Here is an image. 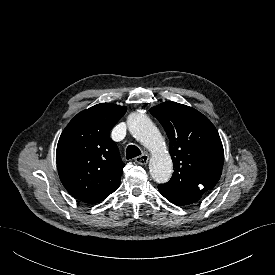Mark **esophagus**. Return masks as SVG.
<instances>
[{"label":"esophagus","mask_w":275,"mask_h":275,"mask_svg":"<svg viewBox=\"0 0 275 275\" xmlns=\"http://www.w3.org/2000/svg\"><path fill=\"white\" fill-rule=\"evenodd\" d=\"M149 161V156L147 154H142L135 158V162L140 165H146Z\"/></svg>","instance_id":"obj_1"}]
</instances>
